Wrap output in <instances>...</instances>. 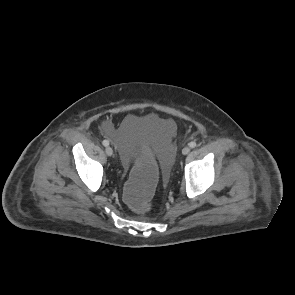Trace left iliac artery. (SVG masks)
Returning <instances> with one entry per match:
<instances>
[{"label": "left iliac artery", "instance_id": "44dca946", "mask_svg": "<svg viewBox=\"0 0 295 295\" xmlns=\"http://www.w3.org/2000/svg\"><path fill=\"white\" fill-rule=\"evenodd\" d=\"M189 146L191 148H195L197 146V144H196V142L192 141V142L189 143Z\"/></svg>", "mask_w": 295, "mask_h": 295}]
</instances>
